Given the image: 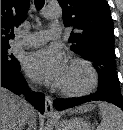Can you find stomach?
Masks as SVG:
<instances>
[{"label":"stomach","mask_w":123,"mask_h":130,"mask_svg":"<svg viewBox=\"0 0 123 130\" xmlns=\"http://www.w3.org/2000/svg\"><path fill=\"white\" fill-rule=\"evenodd\" d=\"M56 130H91L90 124L83 118H73L54 123Z\"/></svg>","instance_id":"1"}]
</instances>
